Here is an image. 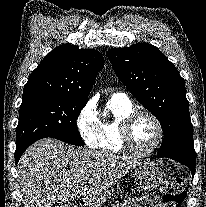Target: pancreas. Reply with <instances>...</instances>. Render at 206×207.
Here are the masks:
<instances>
[{
  "mask_svg": "<svg viewBox=\"0 0 206 207\" xmlns=\"http://www.w3.org/2000/svg\"><path fill=\"white\" fill-rule=\"evenodd\" d=\"M137 200V199H136ZM135 200L129 199L127 201H124L123 203H119L116 205V207H132L134 205Z\"/></svg>",
  "mask_w": 206,
  "mask_h": 207,
  "instance_id": "obj_1",
  "label": "pancreas"
}]
</instances>
